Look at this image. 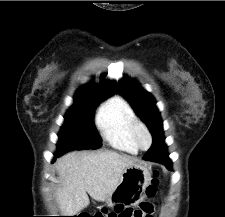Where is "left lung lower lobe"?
I'll return each mask as SVG.
<instances>
[{
    "label": "left lung lower lobe",
    "instance_id": "obj_1",
    "mask_svg": "<svg viewBox=\"0 0 225 217\" xmlns=\"http://www.w3.org/2000/svg\"><path fill=\"white\" fill-rule=\"evenodd\" d=\"M144 159L162 163L167 168L171 169L172 162L168 158V154L162 150L161 146L156 141L153 142L151 149L148 151Z\"/></svg>",
    "mask_w": 225,
    "mask_h": 217
}]
</instances>
